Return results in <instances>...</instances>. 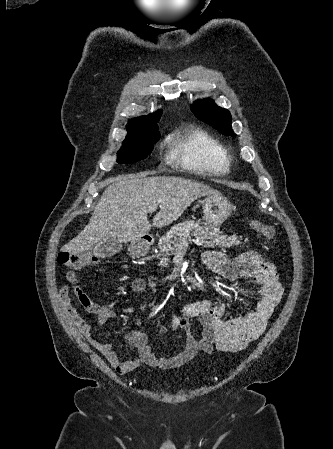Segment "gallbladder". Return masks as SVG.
I'll list each match as a JSON object with an SVG mask.
<instances>
[{
  "label": "gallbladder",
  "mask_w": 333,
  "mask_h": 449,
  "mask_svg": "<svg viewBox=\"0 0 333 449\" xmlns=\"http://www.w3.org/2000/svg\"><path fill=\"white\" fill-rule=\"evenodd\" d=\"M122 250V243L114 237L104 239L99 245L95 246L92 251L96 257H111Z\"/></svg>",
  "instance_id": "1"
}]
</instances>
